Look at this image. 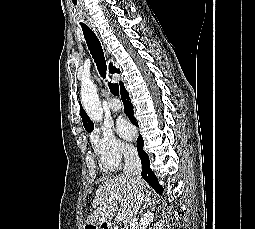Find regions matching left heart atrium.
I'll return each mask as SVG.
<instances>
[{"label": "left heart atrium", "mask_w": 255, "mask_h": 229, "mask_svg": "<svg viewBox=\"0 0 255 229\" xmlns=\"http://www.w3.org/2000/svg\"><path fill=\"white\" fill-rule=\"evenodd\" d=\"M117 132L119 135L127 140H130L134 136V129L131 126V124L124 120V119H119L117 122Z\"/></svg>", "instance_id": "left-heart-atrium-1"}]
</instances>
